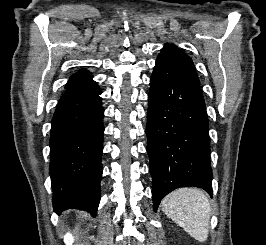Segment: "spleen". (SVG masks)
<instances>
[{
	"label": "spleen",
	"mask_w": 266,
	"mask_h": 245,
	"mask_svg": "<svg viewBox=\"0 0 266 245\" xmlns=\"http://www.w3.org/2000/svg\"><path fill=\"white\" fill-rule=\"evenodd\" d=\"M163 213L190 237L204 243L209 235L211 209L208 197L200 189H177L161 203Z\"/></svg>",
	"instance_id": "obj_1"
}]
</instances>
